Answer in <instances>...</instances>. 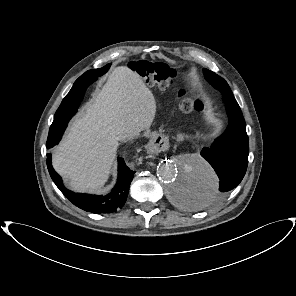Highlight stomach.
Masks as SVG:
<instances>
[{"label": "stomach", "mask_w": 296, "mask_h": 296, "mask_svg": "<svg viewBox=\"0 0 296 296\" xmlns=\"http://www.w3.org/2000/svg\"><path fill=\"white\" fill-rule=\"evenodd\" d=\"M155 135H156L158 138H156V139H154V140H159V141H160L159 138H163V137L165 136V131H164L162 128H157V129L155 130Z\"/></svg>", "instance_id": "0dacf381"}]
</instances>
